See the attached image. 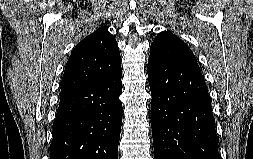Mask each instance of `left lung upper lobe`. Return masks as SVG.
Instances as JSON below:
<instances>
[{"mask_svg":"<svg viewBox=\"0 0 253 159\" xmlns=\"http://www.w3.org/2000/svg\"><path fill=\"white\" fill-rule=\"evenodd\" d=\"M149 57L170 61L193 62L197 60L190 48L174 34L163 31L154 39Z\"/></svg>","mask_w":253,"mask_h":159,"instance_id":"obj_1","label":"left lung upper lobe"}]
</instances>
